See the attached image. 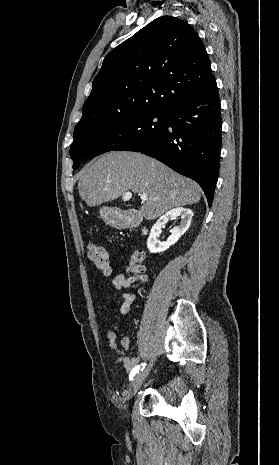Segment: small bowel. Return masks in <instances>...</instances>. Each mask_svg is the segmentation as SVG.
Masks as SVG:
<instances>
[{
  "instance_id": "small-bowel-1",
  "label": "small bowel",
  "mask_w": 279,
  "mask_h": 465,
  "mask_svg": "<svg viewBox=\"0 0 279 465\" xmlns=\"http://www.w3.org/2000/svg\"><path fill=\"white\" fill-rule=\"evenodd\" d=\"M112 284L115 289L122 291V298L123 302L120 306V313L122 315L128 314L134 304V301L136 299V295L128 289L130 288L131 282L130 280L124 275V274H116L114 275L112 279ZM107 338L109 340V346L111 349H113L117 357L114 361V364H122L123 370L121 374H129L131 371L138 366V362L140 360L139 356L135 357H128L125 356L126 350L129 348L130 345V339L127 335L122 336L120 340V345L117 343V335L113 330L108 331L107 333Z\"/></svg>"
}]
</instances>
